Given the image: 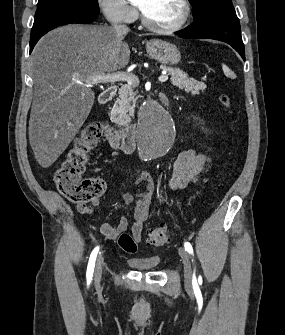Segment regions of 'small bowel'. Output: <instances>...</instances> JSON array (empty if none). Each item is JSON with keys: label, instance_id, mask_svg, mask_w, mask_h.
I'll list each match as a JSON object with an SVG mask.
<instances>
[{"label": "small bowel", "instance_id": "small-bowel-1", "mask_svg": "<svg viewBox=\"0 0 285 335\" xmlns=\"http://www.w3.org/2000/svg\"><path fill=\"white\" fill-rule=\"evenodd\" d=\"M210 163V157L204 153H199L193 149L181 152L173 163L169 187L173 190L185 188L195 182L208 169ZM132 172L131 169H128L126 174H132ZM136 185L138 186L136 193L137 202L132 212L133 224L131 229L133 237L138 242L142 238L144 223L150 213V207L156 194V185L151 176L146 173L137 175ZM121 198L126 204H131L135 200V196L128 192L123 193ZM98 205L99 202L95 199L91 202V205L78 204L77 210L81 214L88 215L92 214L94 208ZM128 226V219L121 217L116 225L102 224L99 231L106 239L115 240L127 230Z\"/></svg>", "mask_w": 285, "mask_h": 335}]
</instances>
